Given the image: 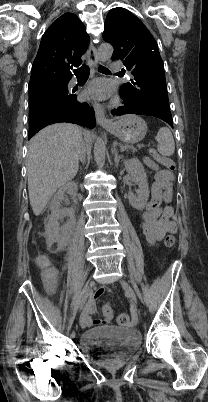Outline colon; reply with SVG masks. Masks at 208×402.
<instances>
[{
  "instance_id": "colon-1",
  "label": "colon",
  "mask_w": 208,
  "mask_h": 402,
  "mask_svg": "<svg viewBox=\"0 0 208 402\" xmlns=\"http://www.w3.org/2000/svg\"><path fill=\"white\" fill-rule=\"evenodd\" d=\"M153 157L160 163H163L168 171H174L176 168L175 162L167 157H164L157 153L155 150L151 151ZM165 246L168 248H173L176 244V237L172 234L167 235L165 238ZM38 265H40L41 270L47 275L48 280L54 279V274L56 269L54 266H51L49 263V259L47 256H38L36 259ZM49 282V281H48ZM56 282V281H55ZM43 294H56V289H51L50 287H43L42 288ZM118 324L120 325H127L129 323V316L127 313H119L116 317Z\"/></svg>"
}]
</instances>
